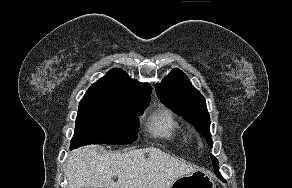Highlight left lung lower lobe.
Instances as JSON below:
<instances>
[{
	"instance_id": "left-lung-lower-lobe-1",
	"label": "left lung lower lobe",
	"mask_w": 292,
	"mask_h": 188,
	"mask_svg": "<svg viewBox=\"0 0 292 188\" xmlns=\"http://www.w3.org/2000/svg\"><path fill=\"white\" fill-rule=\"evenodd\" d=\"M215 171V173H216V175L218 176V177H220L219 175V170L218 169H216V170H214Z\"/></svg>"
}]
</instances>
